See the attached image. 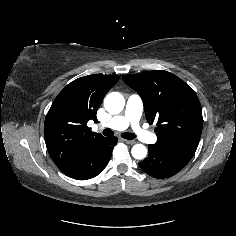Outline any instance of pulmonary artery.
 Returning <instances> with one entry per match:
<instances>
[{"label": "pulmonary artery", "instance_id": "1", "mask_svg": "<svg viewBox=\"0 0 236 236\" xmlns=\"http://www.w3.org/2000/svg\"><path fill=\"white\" fill-rule=\"evenodd\" d=\"M143 110L141 97L137 94L131 95L126 103L123 114L113 117L108 122L102 124L110 129L124 130L131 126L136 137L143 143L154 144L157 142V136L150 131L144 129L140 124V117Z\"/></svg>", "mask_w": 236, "mask_h": 236}]
</instances>
